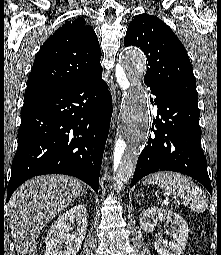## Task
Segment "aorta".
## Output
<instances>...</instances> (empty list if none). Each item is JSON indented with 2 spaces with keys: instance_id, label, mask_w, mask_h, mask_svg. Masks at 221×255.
Segmentation results:
<instances>
[{
  "instance_id": "762f6f07",
  "label": "aorta",
  "mask_w": 221,
  "mask_h": 255,
  "mask_svg": "<svg viewBox=\"0 0 221 255\" xmlns=\"http://www.w3.org/2000/svg\"><path fill=\"white\" fill-rule=\"evenodd\" d=\"M146 70V58L137 48L123 52L117 81L126 90L123 108L124 138L118 140L114 152L113 179L120 191L133 176L139 154L147 140L150 129V111L142 82Z\"/></svg>"
}]
</instances>
